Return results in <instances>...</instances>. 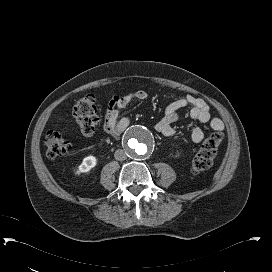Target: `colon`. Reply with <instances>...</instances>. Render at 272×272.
I'll return each instance as SVG.
<instances>
[{"label": "colon", "instance_id": "colon-1", "mask_svg": "<svg viewBox=\"0 0 272 272\" xmlns=\"http://www.w3.org/2000/svg\"><path fill=\"white\" fill-rule=\"evenodd\" d=\"M73 117L85 136H91L94 133L99 118L94 98L91 95H86L76 102L73 108ZM221 142L222 134L215 132L202 143L192 161L194 172H202L211 166ZM45 144L50 157L64 156L71 147L69 139L62 132L56 130L46 133Z\"/></svg>", "mask_w": 272, "mask_h": 272}]
</instances>
